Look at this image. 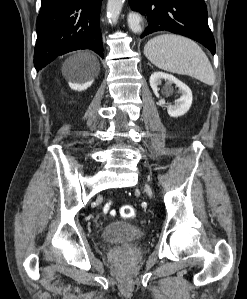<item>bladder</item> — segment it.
Listing matches in <instances>:
<instances>
[{
	"label": "bladder",
	"mask_w": 247,
	"mask_h": 299,
	"mask_svg": "<svg viewBox=\"0 0 247 299\" xmlns=\"http://www.w3.org/2000/svg\"><path fill=\"white\" fill-rule=\"evenodd\" d=\"M145 237V232L138 226L126 222H114L107 225L101 239L106 243H116L125 240H138Z\"/></svg>",
	"instance_id": "1"
}]
</instances>
